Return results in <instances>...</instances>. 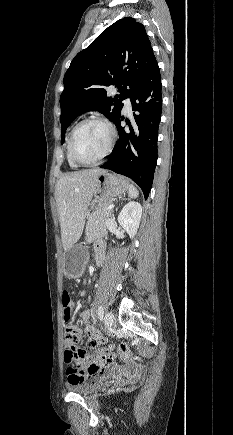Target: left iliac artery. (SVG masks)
<instances>
[{"instance_id":"left-iliac-artery-1","label":"left iliac artery","mask_w":233,"mask_h":435,"mask_svg":"<svg viewBox=\"0 0 233 435\" xmlns=\"http://www.w3.org/2000/svg\"><path fill=\"white\" fill-rule=\"evenodd\" d=\"M103 314H104V308H103V306H99V308H98V317H99L100 320L103 319Z\"/></svg>"}]
</instances>
